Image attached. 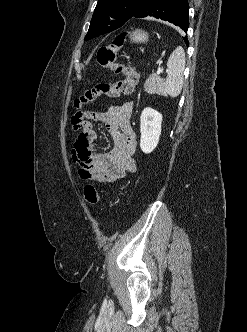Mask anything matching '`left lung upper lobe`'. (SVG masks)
Here are the masks:
<instances>
[{"mask_svg": "<svg viewBox=\"0 0 247 332\" xmlns=\"http://www.w3.org/2000/svg\"><path fill=\"white\" fill-rule=\"evenodd\" d=\"M146 0H98L84 40L112 32L130 20Z\"/></svg>", "mask_w": 247, "mask_h": 332, "instance_id": "1", "label": "left lung upper lobe"}]
</instances>
